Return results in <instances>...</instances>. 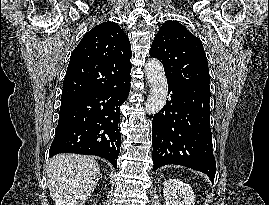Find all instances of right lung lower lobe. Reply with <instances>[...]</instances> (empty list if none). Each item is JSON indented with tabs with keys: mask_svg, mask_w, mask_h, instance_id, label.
Listing matches in <instances>:
<instances>
[{
	"mask_svg": "<svg viewBox=\"0 0 269 205\" xmlns=\"http://www.w3.org/2000/svg\"><path fill=\"white\" fill-rule=\"evenodd\" d=\"M130 72L117 87L61 101L58 126L49 156L96 155L117 168L121 148L120 106L130 91Z\"/></svg>",
	"mask_w": 269,
	"mask_h": 205,
	"instance_id": "right-lung-lower-lobe-1",
	"label": "right lung lower lobe"
}]
</instances>
